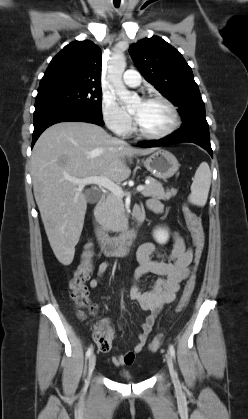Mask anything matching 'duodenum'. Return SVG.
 <instances>
[{
  "label": "duodenum",
  "mask_w": 248,
  "mask_h": 419,
  "mask_svg": "<svg viewBox=\"0 0 248 419\" xmlns=\"http://www.w3.org/2000/svg\"><path fill=\"white\" fill-rule=\"evenodd\" d=\"M106 197L102 194L94 206L92 214V226L97 237L101 251L106 256H115L127 252L139 232L140 224L143 221L142 208L137 207L133 214V224L118 236H110L104 224V208Z\"/></svg>",
  "instance_id": "410a0bca"
}]
</instances>
